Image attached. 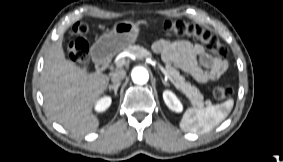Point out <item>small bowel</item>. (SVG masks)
<instances>
[{
    "mask_svg": "<svg viewBox=\"0 0 283 162\" xmlns=\"http://www.w3.org/2000/svg\"><path fill=\"white\" fill-rule=\"evenodd\" d=\"M153 50L166 64L182 69L200 83L218 79L228 67L225 60L211 56L200 44L187 40L160 39L154 43Z\"/></svg>",
    "mask_w": 283,
    "mask_h": 162,
    "instance_id": "1",
    "label": "small bowel"
}]
</instances>
